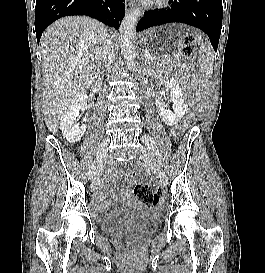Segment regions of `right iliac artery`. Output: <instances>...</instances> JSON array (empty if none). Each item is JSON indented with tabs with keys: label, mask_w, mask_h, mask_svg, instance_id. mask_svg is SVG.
<instances>
[{
	"label": "right iliac artery",
	"mask_w": 265,
	"mask_h": 273,
	"mask_svg": "<svg viewBox=\"0 0 265 273\" xmlns=\"http://www.w3.org/2000/svg\"><path fill=\"white\" fill-rule=\"evenodd\" d=\"M96 161H94L90 167H89V172H88V175H89V179H91L93 177V173H94V170L96 168Z\"/></svg>",
	"instance_id": "82829eb1"
}]
</instances>
